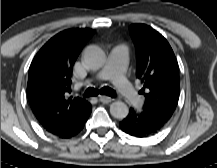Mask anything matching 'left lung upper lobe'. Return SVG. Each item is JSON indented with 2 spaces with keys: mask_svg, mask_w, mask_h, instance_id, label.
I'll use <instances>...</instances> for the list:
<instances>
[{
  "mask_svg": "<svg viewBox=\"0 0 217 168\" xmlns=\"http://www.w3.org/2000/svg\"><path fill=\"white\" fill-rule=\"evenodd\" d=\"M130 35L136 48V77L144 84L142 112L168 121L179 99V67L168 41L145 24H132Z\"/></svg>",
  "mask_w": 217,
  "mask_h": 168,
  "instance_id": "1",
  "label": "left lung upper lobe"
}]
</instances>
